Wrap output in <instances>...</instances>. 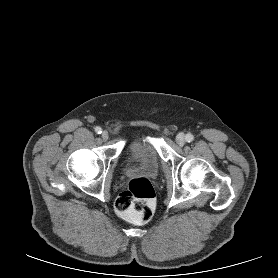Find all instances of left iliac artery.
I'll use <instances>...</instances> for the list:
<instances>
[{
    "mask_svg": "<svg viewBox=\"0 0 278 278\" xmlns=\"http://www.w3.org/2000/svg\"><path fill=\"white\" fill-rule=\"evenodd\" d=\"M185 139L187 142H192L194 140V136L192 134H187Z\"/></svg>",
    "mask_w": 278,
    "mask_h": 278,
    "instance_id": "obj_1",
    "label": "left iliac artery"
}]
</instances>
